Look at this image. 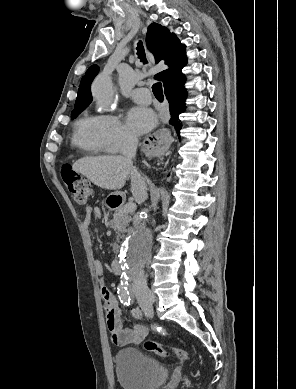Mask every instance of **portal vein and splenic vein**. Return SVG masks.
<instances>
[{
    "label": "portal vein and splenic vein",
    "mask_w": 296,
    "mask_h": 389,
    "mask_svg": "<svg viewBox=\"0 0 296 389\" xmlns=\"http://www.w3.org/2000/svg\"><path fill=\"white\" fill-rule=\"evenodd\" d=\"M136 209V204L133 202H129L124 206V210L127 212H133Z\"/></svg>",
    "instance_id": "1"
}]
</instances>
